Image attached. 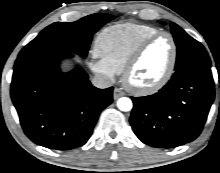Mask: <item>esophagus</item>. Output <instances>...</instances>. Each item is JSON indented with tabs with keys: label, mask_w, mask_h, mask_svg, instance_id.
Wrapping results in <instances>:
<instances>
[{
	"label": "esophagus",
	"mask_w": 220,
	"mask_h": 173,
	"mask_svg": "<svg viewBox=\"0 0 220 173\" xmlns=\"http://www.w3.org/2000/svg\"><path fill=\"white\" fill-rule=\"evenodd\" d=\"M124 95H125V93L119 88H115L114 91H113V98L115 100L118 99L121 96H124Z\"/></svg>",
	"instance_id": "obj_1"
}]
</instances>
